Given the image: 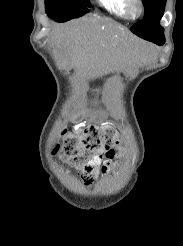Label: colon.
<instances>
[{
	"instance_id": "5ec220e1",
	"label": "colon",
	"mask_w": 183,
	"mask_h": 246,
	"mask_svg": "<svg viewBox=\"0 0 183 246\" xmlns=\"http://www.w3.org/2000/svg\"><path fill=\"white\" fill-rule=\"evenodd\" d=\"M55 150L75 168H83L98 152L106 153L102 172L107 173L117 165L122 154L121 140L110 126H87L80 136L62 129Z\"/></svg>"
}]
</instances>
